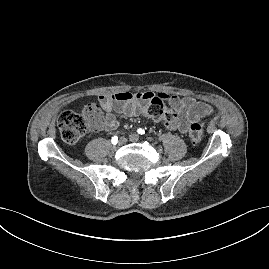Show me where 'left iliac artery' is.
<instances>
[{
  "label": "left iliac artery",
  "mask_w": 269,
  "mask_h": 269,
  "mask_svg": "<svg viewBox=\"0 0 269 269\" xmlns=\"http://www.w3.org/2000/svg\"><path fill=\"white\" fill-rule=\"evenodd\" d=\"M137 132H138V134H141V135L145 134V131L142 128H138Z\"/></svg>",
  "instance_id": "44dca946"
}]
</instances>
